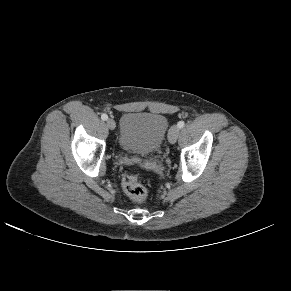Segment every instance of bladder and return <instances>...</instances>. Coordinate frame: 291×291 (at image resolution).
Masks as SVG:
<instances>
[{
	"label": "bladder",
	"mask_w": 291,
	"mask_h": 291,
	"mask_svg": "<svg viewBox=\"0 0 291 291\" xmlns=\"http://www.w3.org/2000/svg\"><path fill=\"white\" fill-rule=\"evenodd\" d=\"M167 130L168 120L162 114L128 112L120 120L118 144L123 150L148 156L159 150Z\"/></svg>",
	"instance_id": "1"
}]
</instances>
